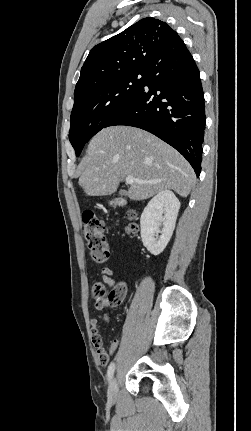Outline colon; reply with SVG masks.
I'll return each mask as SVG.
<instances>
[{"label":"colon","mask_w":251,"mask_h":431,"mask_svg":"<svg viewBox=\"0 0 251 431\" xmlns=\"http://www.w3.org/2000/svg\"><path fill=\"white\" fill-rule=\"evenodd\" d=\"M134 216V211L128 212L129 218H134ZM129 229L134 230V226H130ZM82 232L90 258L97 264L105 263L109 258V250L105 237L106 226L103 220L96 217L92 212H85L82 217ZM92 294L97 300H101L106 296L105 303L110 306H116L123 300L125 289L123 286H119L106 293L104 286L96 283L92 288ZM118 343L117 338L112 340L109 347L111 350L110 356H113V353L119 349Z\"/></svg>","instance_id":"1"}]
</instances>
